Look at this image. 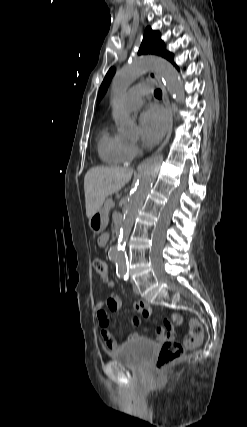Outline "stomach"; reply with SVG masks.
Wrapping results in <instances>:
<instances>
[{"label": "stomach", "instance_id": "0dacf381", "mask_svg": "<svg viewBox=\"0 0 247 427\" xmlns=\"http://www.w3.org/2000/svg\"><path fill=\"white\" fill-rule=\"evenodd\" d=\"M108 224V215L103 210L96 212L89 219V226L94 233H101Z\"/></svg>", "mask_w": 247, "mask_h": 427}]
</instances>
